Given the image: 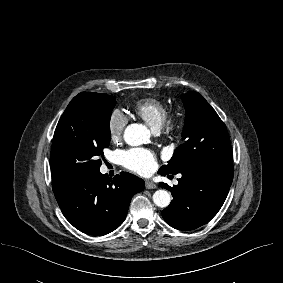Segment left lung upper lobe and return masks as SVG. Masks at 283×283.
I'll use <instances>...</instances> for the list:
<instances>
[{
    "instance_id": "obj_1",
    "label": "left lung upper lobe",
    "mask_w": 283,
    "mask_h": 283,
    "mask_svg": "<svg viewBox=\"0 0 283 283\" xmlns=\"http://www.w3.org/2000/svg\"><path fill=\"white\" fill-rule=\"evenodd\" d=\"M186 110L179 145L167 165L158 172L177 174L182 171L205 169L223 170L233 167V154L225 124L215 110L197 92L182 95Z\"/></svg>"
}]
</instances>
